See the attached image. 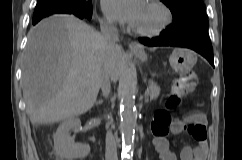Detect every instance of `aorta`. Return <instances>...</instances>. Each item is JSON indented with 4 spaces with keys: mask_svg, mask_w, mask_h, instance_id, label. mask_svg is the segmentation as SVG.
<instances>
[{
    "mask_svg": "<svg viewBox=\"0 0 242 160\" xmlns=\"http://www.w3.org/2000/svg\"><path fill=\"white\" fill-rule=\"evenodd\" d=\"M137 93V78L134 73L124 77V94L120 106L122 132V158L129 160L132 157L131 146L136 128L135 98Z\"/></svg>",
    "mask_w": 242,
    "mask_h": 160,
    "instance_id": "obj_1",
    "label": "aorta"
}]
</instances>
